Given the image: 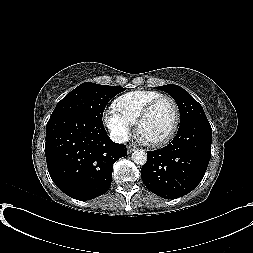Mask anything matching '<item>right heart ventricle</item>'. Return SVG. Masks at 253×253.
I'll list each match as a JSON object with an SVG mask.
<instances>
[{
    "instance_id": "obj_1",
    "label": "right heart ventricle",
    "mask_w": 253,
    "mask_h": 253,
    "mask_svg": "<svg viewBox=\"0 0 253 253\" xmlns=\"http://www.w3.org/2000/svg\"><path fill=\"white\" fill-rule=\"evenodd\" d=\"M161 96L164 95L157 91H131L119 96L114 102V108L131 124H135L145 106Z\"/></svg>"
}]
</instances>
